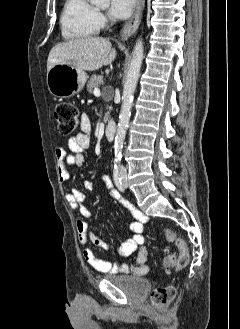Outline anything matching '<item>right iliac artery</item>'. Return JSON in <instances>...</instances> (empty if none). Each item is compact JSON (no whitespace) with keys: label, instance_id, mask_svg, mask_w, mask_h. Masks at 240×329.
Segmentation results:
<instances>
[{"label":"right iliac artery","instance_id":"obj_1","mask_svg":"<svg viewBox=\"0 0 240 329\" xmlns=\"http://www.w3.org/2000/svg\"><path fill=\"white\" fill-rule=\"evenodd\" d=\"M113 179H114V182H115L117 188L121 192H124V185L122 183V180H121V177H120V174H119V168L117 166L114 167Z\"/></svg>","mask_w":240,"mask_h":329}]
</instances>
